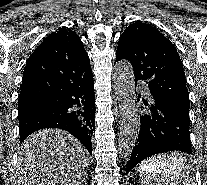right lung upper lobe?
<instances>
[{
  "instance_id": "1",
  "label": "right lung upper lobe",
  "mask_w": 207,
  "mask_h": 185,
  "mask_svg": "<svg viewBox=\"0 0 207 185\" xmlns=\"http://www.w3.org/2000/svg\"><path fill=\"white\" fill-rule=\"evenodd\" d=\"M92 76L90 60L78 35L66 27L50 34L24 69L18 112L54 99L72 83Z\"/></svg>"
}]
</instances>
